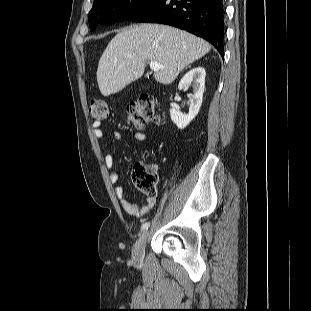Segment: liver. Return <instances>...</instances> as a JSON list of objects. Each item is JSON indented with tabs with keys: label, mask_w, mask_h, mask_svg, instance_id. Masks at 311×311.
<instances>
[{
	"label": "liver",
	"mask_w": 311,
	"mask_h": 311,
	"mask_svg": "<svg viewBox=\"0 0 311 311\" xmlns=\"http://www.w3.org/2000/svg\"><path fill=\"white\" fill-rule=\"evenodd\" d=\"M205 40L167 25L144 23L122 29L103 52L97 82L103 96L122 90L142 76L146 61L164 66L154 73L157 82L171 84L189 64L207 54Z\"/></svg>",
	"instance_id": "1"
}]
</instances>
